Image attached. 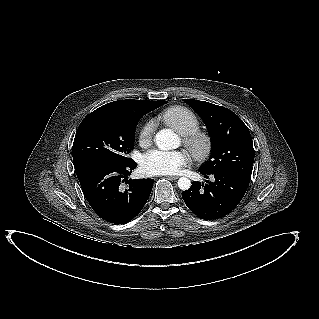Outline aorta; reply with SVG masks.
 Masks as SVG:
<instances>
[{
	"mask_svg": "<svg viewBox=\"0 0 319 319\" xmlns=\"http://www.w3.org/2000/svg\"><path fill=\"white\" fill-rule=\"evenodd\" d=\"M155 143L161 150H170L178 147V136L170 129H162L155 136ZM178 187L181 190H188L191 187L190 179L181 177L178 180Z\"/></svg>",
	"mask_w": 319,
	"mask_h": 319,
	"instance_id": "1",
	"label": "aorta"
}]
</instances>
